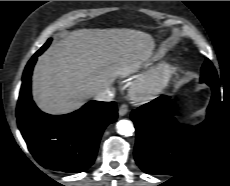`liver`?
Wrapping results in <instances>:
<instances>
[{"label": "liver", "mask_w": 230, "mask_h": 186, "mask_svg": "<svg viewBox=\"0 0 230 186\" xmlns=\"http://www.w3.org/2000/svg\"><path fill=\"white\" fill-rule=\"evenodd\" d=\"M154 47L151 35L133 29L66 32L38 58L32 77L33 99L48 114L73 112L110 88L118 76L147 61Z\"/></svg>", "instance_id": "6515ba94"}]
</instances>
